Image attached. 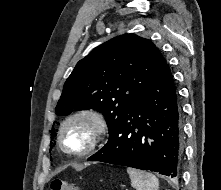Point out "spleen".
<instances>
[{
	"instance_id": "1",
	"label": "spleen",
	"mask_w": 221,
	"mask_h": 190,
	"mask_svg": "<svg viewBox=\"0 0 221 190\" xmlns=\"http://www.w3.org/2000/svg\"><path fill=\"white\" fill-rule=\"evenodd\" d=\"M131 185L136 190H158L159 182L155 175L131 167L127 168Z\"/></svg>"
}]
</instances>
